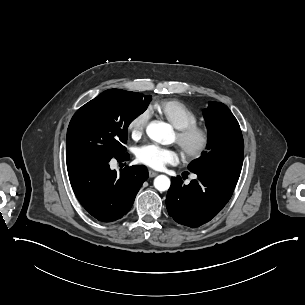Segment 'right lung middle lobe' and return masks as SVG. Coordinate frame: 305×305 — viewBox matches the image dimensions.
Here are the masks:
<instances>
[{
    "label": "right lung middle lobe",
    "mask_w": 305,
    "mask_h": 305,
    "mask_svg": "<svg viewBox=\"0 0 305 305\" xmlns=\"http://www.w3.org/2000/svg\"><path fill=\"white\" fill-rule=\"evenodd\" d=\"M151 96L110 89L82 106L72 117L66 159L109 161L126 151L129 124L148 107Z\"/></svg>",
    "instance_id": "right-lung-middle-lobe-1"
}]
</instances>
